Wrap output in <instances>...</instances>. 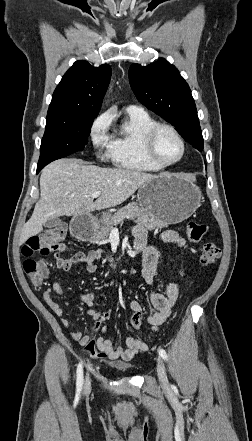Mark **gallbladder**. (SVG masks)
Returning a JSON list of instances; mask_svg holds the SVG:
<instances>
[{"instance_id": "obj_1", "label": "gallbladder", "mask_w": 252, "mask_h": 441, "mask_svg": "<svg viewBox=\"0 0 252 441\" xmlns=\"http://www.w3.org/2000/svg\"><path fill=\"white\" fill-rule=\"evenodd\" d=\"M60 224H61V219L56 217V218H52V219H49L48 221H46L44 226L46 228H53V227L58 226Z\"/></svg>"}]
</instances>
